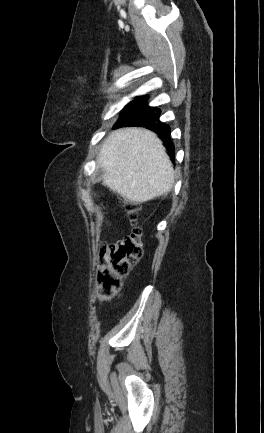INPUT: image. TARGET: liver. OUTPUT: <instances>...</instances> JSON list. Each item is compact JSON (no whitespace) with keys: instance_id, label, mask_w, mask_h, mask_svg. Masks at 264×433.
<instances>
[{"instance_id":"liver-1","label":"liver","mask_w":264,"mask_h":433,"mask_svg":"<svg viewBox=\"0 0 264 433\" xmlns=\"http://www.w3.org/2000/svg\"><path fill=\"white\" fill-rule=\"evenodd\" d=\"M103 184L129 202L144 203L167 194L174 170L162 141L144 128H121L104 140L97 156Z\"/></svg>"}]
</instances>
